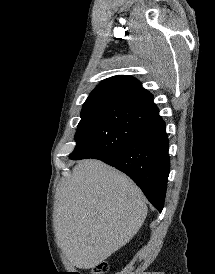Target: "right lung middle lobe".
<instances>
[{
  "label": "right lung middle lobe",
  "mask_w": 215,
  "mask_h": 274,
  "mask_svg": "<svg viewBox=\"0 0 215 274\" xmlns=\"http://www.w3.org/2000/svg\"><path fill=\"white\" fill-rule=\"evenodd\" d=\"M159 117L118 102L84 103L75 135L72 160L106 158L128 143Z\"/></svg>",
  "instance_id": "obj_1"
}]
</instances>
